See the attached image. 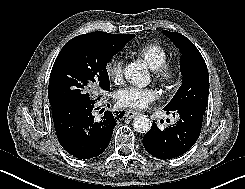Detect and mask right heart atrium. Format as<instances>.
I'll list each match as a JSON object with an SVG mask.
<instances>
[{"label":"right heart atrium","instance_id":"obj_1","mask_svg":"<svg viewBox=\"0 0 245 189\" xmlns=\"http://www.w3.org/2000/svg\"><path fill=\"white\" fill-rule=\"evenodd\" d=\"M106 74L116 83L123 79V59L115 56L109 59L105 64Z\"/></svg>","mask_w":245,"mask_h":189}]
</instances>
